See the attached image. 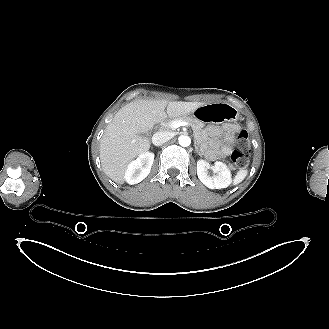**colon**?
Segmentation results:
<instances>
[{
	"mask_svg": "<svg viewBox=\"0 0 329 329\" xmlns=\"http://www.w3.org/2000/svg\"><path fill=\"white\" fill-rule=\"evenodd\" d=\"M249 135L246 128H242L238 135V148L232 153L231 159L238 168L247 165L249 161Z\"/></svg>",
	"mask_w": 329,
	"mask_h": 329,
	"instance_id": "1",
	"label": "colon"
}]
</instances>
